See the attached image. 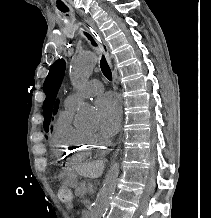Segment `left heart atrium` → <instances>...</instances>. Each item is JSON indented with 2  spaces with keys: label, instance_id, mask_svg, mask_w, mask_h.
I'll return each instance as SVG.
<instances>
[{
  "label": "left heart atrium",
  "instance_id": "obj_1",
  "mask_svg": "<svg viewBox=\"0 0 211 218\" xmlns=\"http://www.w3.org/2000/svg\"><path fill=\"white\" fill-rule=\"evenodd\" d=\"M98 112L100 133L106 137H113L119 130L121 121V107L113 93L102 94L95 102Z\"/></svg>",
  "mask_w": 211,
  "mask_h": 218
}]
</instances>
